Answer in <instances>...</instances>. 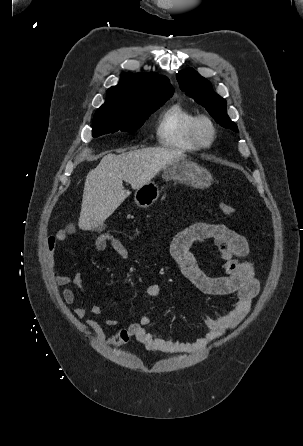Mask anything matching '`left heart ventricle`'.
<instances>
[{"label": "left heart ventricle", "mask_w": 303, "mask_h": 446, "mask_svg": "<svg viewBox=\"0 0 303 446\" xmlns=\"http://www.w3.org/2000/svg\"><path fill=\"white\" fill-rule=\"evenodd\" d=\"M203 136H204L205 138L208 137V131H207L206 128L203 129Z\"/></svg>", "instance_id": "obj_1"}]
</instances>
